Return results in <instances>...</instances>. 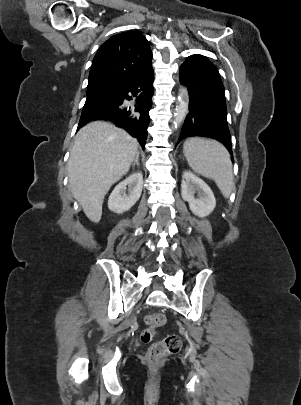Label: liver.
<instances>
[{"mask_svg":"<svg viewBox=\"0 0 301 405\" xmlns=\"http://www.w3.org/2000/svg\"><path fill=\"white\" fill-rule=\"evenodd\" d=\"M138 142L124 130L103 121L82 127L68 161L69 186L85 215L98 223L104 197L130 169Z\"/></svg>","mask_w":301,"mask_h":405,"instance_id":"obj_1","label":"liver"}]
</instances>
